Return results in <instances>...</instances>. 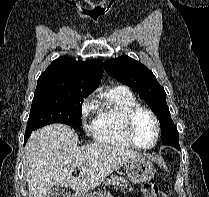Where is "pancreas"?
I'll return each mask as SVG.
<instances>
[{"mask_svg":"<svg viewBox=\"0 0 209 197\" xmlns=\"http://www.w3.org/2000/svg\"><path fill=\"white\" fill-rule=\"evenodd\" d=\"M103 184L105 186L113 185L115 188H120V189L129 188L128 181L122 176H111L110 178H107ZM129 190L132 191L133 189L130 187Z\"/></svg>","mask_w":209,"mask_h":197,"instance_id":"pancreas-1","label":"pancreas"}]
</instances>
